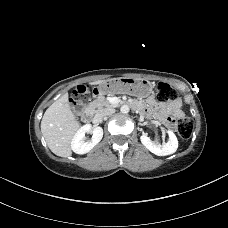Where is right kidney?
Wrapping results in <instances>:
<instances>
[{"instance_id":"ca27d5eb","label":"right kidney","mask_w":228,"mask_h":228,"mask_svg":"<svg viewBox=\"0 0 228 228\" xmlns=\"http://www.w3.org/2000/svg\"><path fill=\"white\" fill-rule=\"evenodd\" d=\"M86 133H92L91 140L85 141ZM102 137L103 129L101 127H92L90 124L84 125L73 136L71 149L76 154H86L101 141Z\"/></svg>"}]
</instances>
